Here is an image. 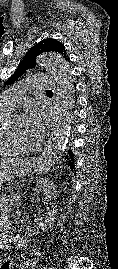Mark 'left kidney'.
I'll return each mask as SVG.
<instances>
[{"label":"left kidney","mask_w":118,"mask_h":269,"mask_svg":"<svg viewBox=\"0 0 118 269\" xmlns=\"http://www.w3.org/2000/svg\"><path fill=\"white\" fill-rule=\"evenodd\" d=\"M57 187L55 186L53 181H49L46 178H41L39 181L36 183L35 191L36 192H43L45 199L52 201V210L48 214L47 217L43 218L41 216H38L35 218V223L36 225L42 229V230H48L52 228L53 222L55 220V216L58 212V208L55 205L54 201L57 199L58 192H57Z\"/></svg>","instance_id":"obj_1"}]
</instances>
